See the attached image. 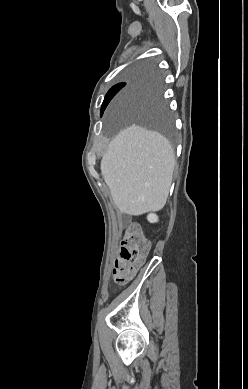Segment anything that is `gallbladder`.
<instances>
[{
  "label": "gallbladder",
  "mask_w": 248,
  "mask_h": 389,
  "mask_svg": "<svg viewBox=\"0 0 248 389\" xmlns=\"http://www.w3.org/2000/svg\"><path fill=\"white\" fill-rule=\"evenodd\" d=\"M126 221H129V217L126 218Z\"/></svg>",
  "instance_id": "gallbladder-1"
}]
</instances>
